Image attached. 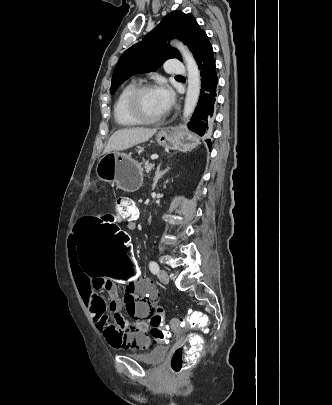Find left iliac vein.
<instances>
[{"label":"left iliac vein","mask_w":332,"mask_h":405,"mask_svg":"<svg viewBox=\"0 0 332 405\" xmlns=\"http://www.w3.org/2000/svg\"><path fill=\"white\" fill-rule=\"evenodd\" d=\"M157 276H158V279H159L163 284H168V282H169V276H168V273H167L165 270H163V269L159 270Z\"/></svg>","instance_id":"obj_1"}]
</instances>
